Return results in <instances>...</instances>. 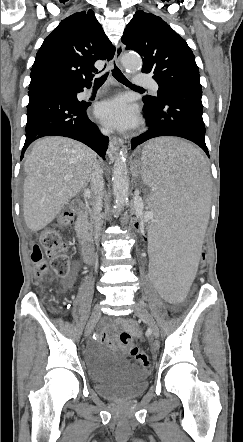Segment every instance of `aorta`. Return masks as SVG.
<instances>
[{"label": "aorta", "instance_id": "obj_1", "mask_svg": "<svg viewBox=\"0 0 243 442\" xmlns=\"http://www.w3.org/2000/svg\"><path fill=\"white\" fill-rule=\"evenodd\" d=\"M122 65L129 73H136L142 68V60L135 54L127 53L122 57ZM114 208L120 212L128 201L129 178L127 170V150H122L113 166L112 173Z\"/></svg>", "mask_w": 243, "mask_h": 442}]
</instances>
